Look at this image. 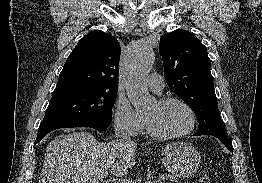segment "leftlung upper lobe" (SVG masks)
Segmentation results:
<instances>
[{"instance_id":"obj_1","label":"left lung upper lobe","mask_w":262,"mask_h":183,"mask_svg":"<svg viewBox=\"0 0 262 183\" xmlns=\"http://www.w3.org/2000/svg\"><path fill=\"white\" fill-rule=\"evenodd\" d=\"M160 54L168 86L195 112L199 129L194 135H223L206 47L186 31L175 30L160 38Z\"/></svg>"}]
</instances>
